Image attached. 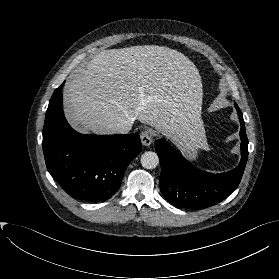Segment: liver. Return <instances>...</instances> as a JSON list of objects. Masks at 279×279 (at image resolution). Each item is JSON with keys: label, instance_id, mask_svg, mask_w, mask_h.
<instances>
[{"label": "liver", "instance_id": "6515ba94", "mask_svg": "<svg viewBox=\"0 0 279 279\" xmlns=\"http://www.w3.org/2000/svg\"><path fill=\"white\" fill-rule=\"evenodd\" d=\"M202 97L194 63L158 45L104 50L63 90L67 118L82 132L117 134L139 120L187 149H207Z\"/></svg>", "mask_w": 279, "mask_h": 279}]
</instances>
